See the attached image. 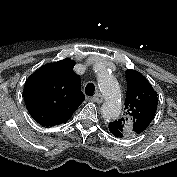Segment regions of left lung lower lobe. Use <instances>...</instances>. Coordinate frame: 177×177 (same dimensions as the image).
Segmentation results:
<instances>
[{"mask_svg":"<svg viewBox=\"0 0 177 177\" xmlns=\"http://www.w3.org/2000/svg\"><path fill=\"white\" fill-rule=\"evenodd\" d=\"M109 131L117 138H121L122 133L109 123Z\"/></svg>","mask_w":177,"mask_h":177,"instance_id":"0a47b994","label":"left lung lower lobe"}]
</instances>
